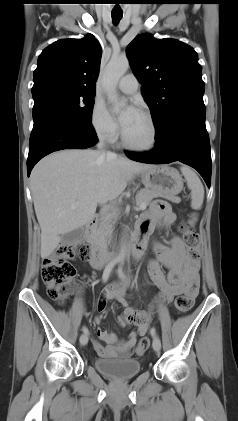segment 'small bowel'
I'll use <instances>...</instances> for the list:
<instances>
[{
  "instance_id": "1",
  "label": "small bowel",
  "mask_w": 238,
  "mask_h": 421,
  "mask_svg": "<svg viewBox=\"0 0 238 421\" xmlns=\"http://www.w3.org/2000/svg\"><path fill=\"white\" fill-rule=\"evenodd\" d=\"M175 221L176 215L171 211L169 204L158 200L138 220L137 232L146 238L156 229L172 226ZM153 250L155 256L149 261L148 269L151 279L160 289L158 300L172 302L175 297L183 295L193 301L198 293L200 264L197 260L191 259L183 240L179 236H174L169 246L156 241ZM163 267L168 269L167 274L164 273ZM128 287L125 283L107 286L97 302V310L103 313L109 301H117L123 307L119 324H133L137 327V331L130 333L122 344L116 346L117 336L114 333L98 329V338L107 344L102 346L99 342L93 341V347L101 357L131 355L137 336L146 334L149 329L152 311H139L129 307L126 299ZM95 321L99 324L101 317L97 316Z\"/></svg>"
}]
</instances>
